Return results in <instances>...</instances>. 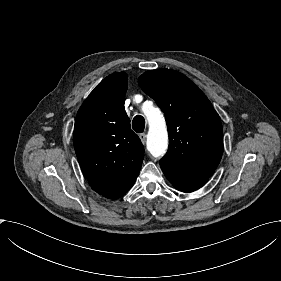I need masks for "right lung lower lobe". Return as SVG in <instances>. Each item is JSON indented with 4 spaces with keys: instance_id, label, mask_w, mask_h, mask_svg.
<instances>
[{
    "instance_id": "98d812e1",
    "label": "right lung lower lobe",
    "mask_w": 281,
    "mask_h": 281,
    "mask_svg": "<svg viewBox=\"0 0 281 281\" xmlns=\"http://www.w3.org/2000/svg\"><path fill=\"white\" fill-rule=\"evenodd\" d=\"M139 174V173H138ZM138 174L126 185L124 186L118 193L115 197H113V199H117L121 196H123L131 187L132 185L134 184Z\"/></svg>"
}]
</instances>
